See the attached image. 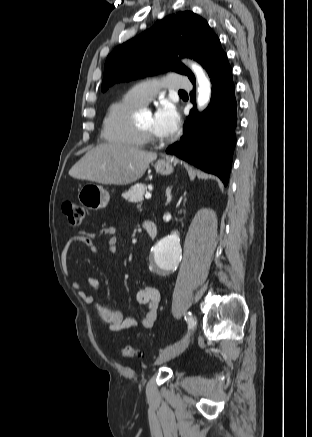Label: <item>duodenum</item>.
Listing matches in <instances>:
<instances>
[{"instance_id":"410a0bca","label":"duodenum","mask_w":312,"mask_h":437,"mask_svg":"<svg viewBox=\"0 0 312 437\" xmlns=\"http://www.w3.org/2000/svg\"><path fill=\"white\" fill-rule=\"evenodd\" d=\"M143 227L146 232V235L149 239H153L157 234V228L155 223L150 219H145L143 221Z\"/></svg>"}]
</instances>
